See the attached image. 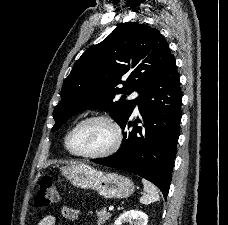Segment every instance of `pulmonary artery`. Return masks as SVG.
<instances>
[{
  "mask_svg": "<svg viewBox=\"0 0 228 225\" xmlns=\"http://www.w3.org/2000/svg\"><path fill=\"white\" fill-rule=\"evenodd\" d=\"M138 97H139V93L138 92H133L131 94V99H133V100L138 99ZM137 111H138V104H136V106H135V112H137Z\"/></svg>",
  "mask_w": 228,
  "mask_h": 225,
  "instance_id": "e3ab8cb5",
  "label": "pulmonary artery"
}]
</instances>
